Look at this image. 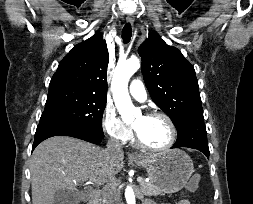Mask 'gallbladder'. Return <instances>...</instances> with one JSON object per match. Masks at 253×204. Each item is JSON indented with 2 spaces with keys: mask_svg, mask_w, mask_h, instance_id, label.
<instances>
[{
  "mask_svg": "<svg viewBox=\"0 0 253 204\" xmlns=\"http://www.w3.org/2000/svg\"><path fill=\"white\" fill-rule=\"evenodd\" d=\"M89 198V191L81 193L75 190L61 189L54 194V204H79Z\"/></svg>",
  "mask_w": 253,
  "mask_h": 204,
  "instance_id": "obj_1",
  "label": "gallbladder"
}]
</instances>
